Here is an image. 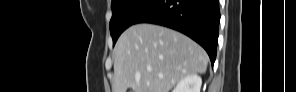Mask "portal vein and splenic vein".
I'll list each match as a JSON object with an SVG mask.
<instances>
[{"label":"portal vein and splenic vein","instance_id":"18ae733b","mask_svg":"<svg viewBox=\"0 0 296 92\" xmlns=\"http://www.w3.org/2000/svg\"><path fill=\"white\" fill-rule=\"evenodd\" d=\"M148 70H149V71H151L152 69H151V68H149ZM160 76H161V75H160Z\"/></svg>","mask_w":296,"mask_h":92}]
</instances>
